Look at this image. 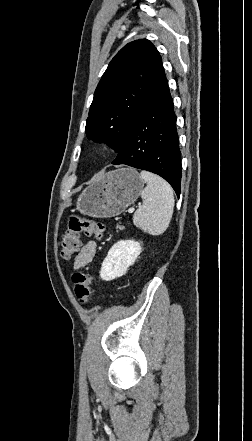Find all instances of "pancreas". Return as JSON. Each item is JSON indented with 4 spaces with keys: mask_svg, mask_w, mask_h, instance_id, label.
<instances>
[{
    "mask_svg": "<svg viewBox=\"0 0 252 441\" xmlns=\"http://www.w3.org/2000/svg\"><path fill=\"white\" fill-rule=\"evenodd\" d=\"M116 229H117V231H119V230H123L124 227H123V226H120V225H117V226H116Z\"/></svg>",
    "mask_w": 252,
    "mask_h": 441,
    "instance_id": "pancreas-1",
    "label": "pancreas"
}]
</instances>
